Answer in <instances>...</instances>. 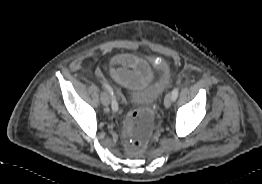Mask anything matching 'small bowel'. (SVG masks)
I'll return each instance as SVG.
<instances>
[{
    "label": "small bowel",
    "instance_id": "small-bowel-1",
    "mask_svg": "<svg viewBox=\"0 0 262 184\" xmlns=\"http://www.w3.org/2000/svg\"><path fill=\"white\" fill-rule=\"evenodd\" d=\"M113 67L110 69L111 78L129 88H141L149 83L153 74L149 66L140 58L122 53L112 59ZM100 75V71H96Z\"/></svg>",
    "mask_w": 262,
    "mask_h": 184
}]
</instances>
